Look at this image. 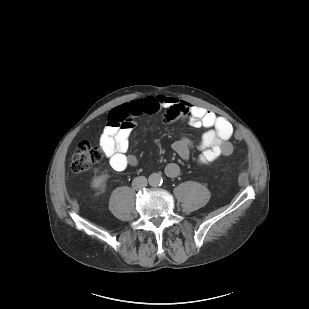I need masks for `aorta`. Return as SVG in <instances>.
<instances>
[{"mask_svg": "<svg viewBox=\"0 0 309 309\" xmlns=\"http://www.w3.org/2000/svg\"><path fill=\"white\" fill-rule=\"evenodd\" d=\"M149 184L152 187H157L162 184V176L159 173H152L148 178Z\"/></svg>", "mask_w": 309, "mask_h": 309, "instance_id": "1", "label": "aorta"}]
</instances>
